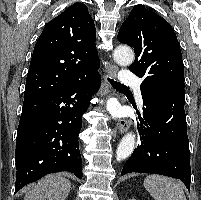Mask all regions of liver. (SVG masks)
Wrapping results in <instances>:
<instances>
[{
    "instance_id": "obj_1",
    "label": "liver",
    "mask_w": 201,
    "mask_h": 200,
    "mask_svg": "<svg viewBox=\"0 0 201 200\" xmlns=\"http://www.w3.org/2000/svg\"><path fill=\"white\" fill-rule=\"evenodd\" d=\"M70 187V181L60 174L49 175L29 190L25 194L24 200H65Z\"/></svg>"
}]
</instances>
